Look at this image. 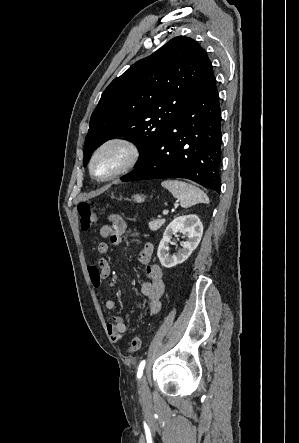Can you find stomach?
I'll return each mask as SVG.
<instances>
[{
  "mask_svg": "<svg viewBox=\"0 0 299 443\" xmlns=\"http://www.w3.org/2000/svg\"><path fill=\"white\" fill-rule=\"evenodd\" d=\"M133 198H134V201H135V202H137V203H141V202L144 201L145 196L140 195V194H136V195L133 196Z\"/></svg>",
  "mask_w": 299,
  "mask_h": 443,
  "instance_id": "1",
  "label": "stomach"
}]
</instances>
